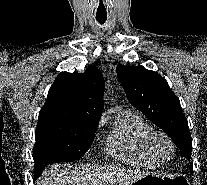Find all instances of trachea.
<instances>
[{"instance_id":"obj_1","label":"trachea","mask_w":207,"mask_h":185,"mask_svg":"<svg viewBox=\"0 0 207 185\" xmlns=\"http://www.w3.org/2000/svg\"><path fill=\"white\" fill-rule=\"evenodd\" d=\"M97 22L104 23L107 20V17H96Z\"/></svg>"}]
</instances>
